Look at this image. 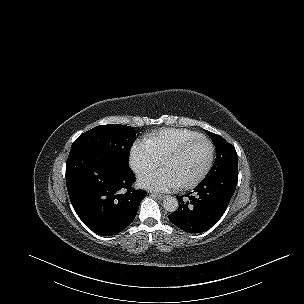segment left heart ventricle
<instances>
[{"instance_id": "obj_1", "label": "left heart ventricle", "mask_w": 304, "mask_h": 304, "mask_svg": "<svg viewBox=\"0 0 304 304\" xmlns=\"http://www.w3.org/2000/svg\"><path fill=\"white\" fill-rule=\"evenodd\" d=\"M207 156V144H196L169 165L168 173L177 180L178 183L191 180L203 167Z\"/></svg>"}]
</instances>
